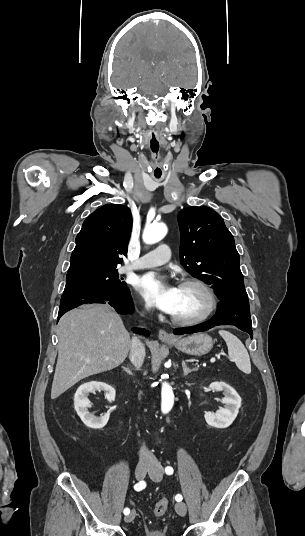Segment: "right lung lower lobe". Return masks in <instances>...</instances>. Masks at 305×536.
Masks as SVG:
<instances>
[{
  "label": "right lung lower lobe",
  "mask_w": 305,
  "mask_h": 536,
  "mask_svg": "<svg viewBox=\"0 0 305 536\" xmlns=\"http://www.w3.org/2000/svg\"><path fill=\"white\" fill-rule=\"evenodd\" d=\"M87 303H108L120 314L133 311V301L129 289L118 294H100L88 291H75L64 293L60 300L58 319L67 311ZM136 333L149 336L150 332L145 329L134 328Z\"/></svg>",
  "instance_id": "right-lung-lower-lobe-1"
}]
</instances>
